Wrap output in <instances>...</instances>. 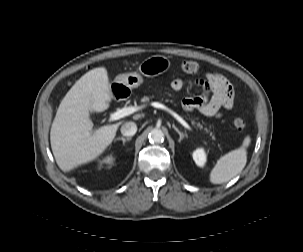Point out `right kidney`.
Returning a JSON list of instances; mask_svg holds the SVG:
<instances>
[{"mask_svg": "<svg viewBox=\"0 0 303 252\" xmlns=\"http://www.w3.org/2000/svg\"><path fill=\"white\" fill-rule=\"evenodd\" d=\"M114 161L113 156H107L105 159H103L101 161V164L105 163V164H112Z\"/></svg>", "mask_w": 303, "mask_h": 252, "instance_id": "1", "label": "right kidney"}]
</instances>
